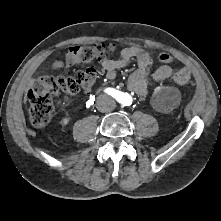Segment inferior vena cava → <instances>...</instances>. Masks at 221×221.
<instances>
[{"label":"inferior vena cava","mask_w":221,"mask_h":221,"mask_svg":"<svg viewBox=\"0 0 221 221\" xmlns=\"http://www.w3.org/2000/svg\"><path fill=\"white\" fill-rule=\"evenodd\" d=\"M116 106L115 100L107 95H102L97 101V109L100 112H109Z\"/></svg>","instance_id":"1"}]
</instances>
